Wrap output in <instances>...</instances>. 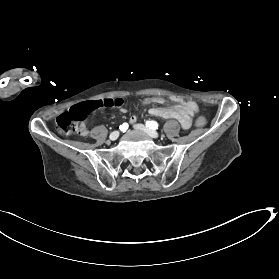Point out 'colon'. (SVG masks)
Masks as SVG:
<instances>
[{
	"label": "colon",
	"instance_id": "colon-1",
	"mask_svg": "<svg viewBox=\"0 0 279 279\" xmlns=\"http://www.w3.org/2000/svg\"><path fill=\"white\" fill-rule=\"evenodd\" d=\"M178 100L191 112L195 114L199 111L198 103L190 97H177ZM124 103L122 98H105L89 102H82L74 105L68 111L60 114L56 119L58 130L63 134L80 133V126L83 119L94 109L101 107H120ZM196 125L203 127L206 119L203 116L196 118Z\"/></svg>",
	"mask_w": 279,
	"mask_h": 279
}]
</instances>
